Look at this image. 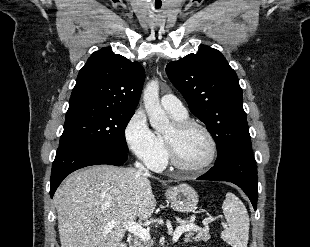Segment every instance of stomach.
I'll return each mask as SVG.
<instances>
[{"label":"stomach","instance_id":"1","mask_svg":"<svg viewBox=\"0 0 310 247\" xmlns=\"http://www.w3.org/2000/svg\"><path fill=\"white\" fill-rule=\"evenodd\" d=\"M165 195L172 208L179 212H191L198 203L197 192L187 184L169 188Z\"/></svg>","mask_w":310,"mask_h":247}]
</instances>
